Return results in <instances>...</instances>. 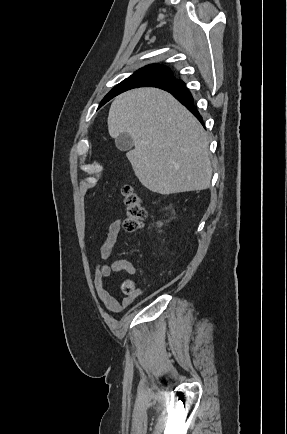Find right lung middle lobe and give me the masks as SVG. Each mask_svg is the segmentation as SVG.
I'll return each mask as SVG.
<instances>
[{"instance_id": "dd1d6c3e", "label": "right lung middle lobe", "mask_w": 287, "mask_h": 434, "mask_svg": "<svg viewBox=\"0 0 287 434\" xmlns=\"http://www.w3.org/2000/svg\"><path fill=\"white\" fill-rule=\"evenodd\" d=\"M175 78L170 72L159 69L142 68L115 86L102 100L100 106L116 95L136 87L149 86L163 83Z\"/></svg>"}]
</instances>
